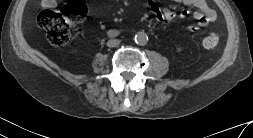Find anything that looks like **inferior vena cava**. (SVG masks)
<instances>
[{"instance_id": "1", "label": "inferior vena cava", "mask_w": 253, "mask_h": 138, "mask_svg": "<svg viewBox=\"0 0 253 138\" xmlns=\"http://www.w3.org/2000/svg\"><path fill=\"white\" fill-rule=\"evenodd\" d=\"M119 43H120V40H119V39H110V40L107 42V46H108V47H116Z\"/></svg>"}]
</instances>
